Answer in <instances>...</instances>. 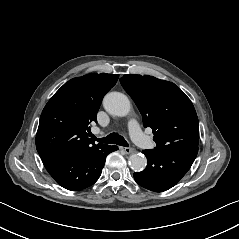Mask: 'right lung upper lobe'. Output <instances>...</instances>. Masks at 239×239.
I'll use <instances>...</instances> for the list:
<instances>
[{
	"label": "right lung upper lobe",
	"mask_w": 239,
	"mask_h": 239,
	"mask_svg": "<svg viewBox=\"0 0 239 239\" xmlns=\"http://www.w3.org/2000/svg\"><path fill=\"white\" fill-rule=\"evenodd\" d=\"M118 77L117 74H87L71 79L53 95L42 111L36 134L40 157L97 146L88 137L89 123L96 122L101 101Z\"/></svg>",
	"instance_id": "1"
}]
</instances>
